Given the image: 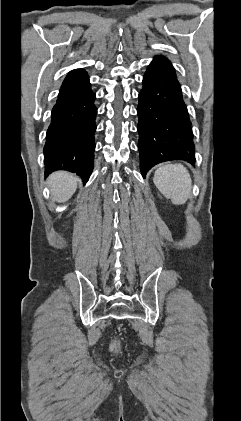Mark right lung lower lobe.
<instances>
[{"mask_svg":"<svg viewBox=\"0 0 241 421\" xmlns=\"http://www.w3.org/2000/svg\"><path fill=\"white\" fill-rule=\"evenodd\" d=\"M95 94L87 73L75 69L61 85L51 112L44 145L45 175L56 170L77 173L87 182L94 163Z\"/></svg>","mask_w":241,"mask_h":421,"instance_id":"1","label":"right lung lower lobe"}]
</instances>
